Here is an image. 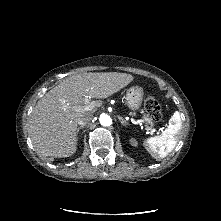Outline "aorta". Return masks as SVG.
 Returning <instances> with one entry per match:
<instances>
[{"mask_svg":"<svg viewBox=\"0 0 221 221\" xmlns=\"http://www.w3.org/2000/svg\"><path fill=\"white\" fill-rule=\"evenodd\" d=\"M99 121H100L101 125H103V126H110L112 124V119L107 114H101Z\"/></svg>","mask_w":221,"mask_h":221,"instance_id":"obj_1","label":"aorta"}]
</instances>
